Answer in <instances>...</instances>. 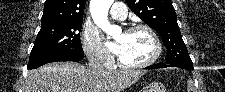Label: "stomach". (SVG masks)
<instances>
[{
  "label": "stomach",
  "instance_id": "0dacf381",
  "mask_svg": "<svg viewBox=\"0 0 225 92\" xmlns=\"http://www.w3.org/2000/svg\"><path fill=\"white\" fill-rule=\"evenodd\" d=\"M142 92H166V89L160 83H152L145 87Z\"/></svg>",
  "mask_w": 225,
  "mask_h": 92
}]
</instances>
